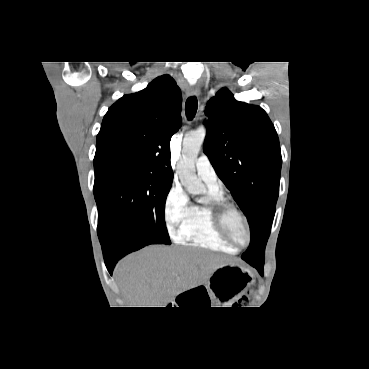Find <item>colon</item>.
Here are the masks:
<instances>
[{"instance_id": "obj_1", "label": "colon", "mask_w": 369, "mask_h": 369, "mask_svg": "<svg viewBox=\"0 0 369 369\" xmlns=\"http://www.w3.org/2000/svg\"><path fill=\"white\" fill-rule=\"evenodd\" d=\"M247 297H242L235 305L236 306H244L247 303Z\"/></svg>"}]
</instances>
